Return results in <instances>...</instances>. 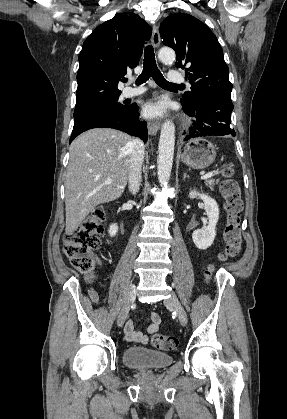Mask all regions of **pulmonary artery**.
<instances>
[{
    "instance_id": "1",
    "label": "pulmonary artery",
    "mask_w": 287,
    "mask_h": 419,
    "mask_svg": "<svg viewBox=\"0 0 287 419\" xmlns=\"http://www.w3.org/2000/svg\"><path fill=\"white\" fill-rule=\"evenodd\" d=\"M167 81L172 84H182L185 82L184 76L180 71H170L167 77ZM145 91L144 88H132L127 87L123 91L124 97H134L142 94Z\"/></svg>"
}]
</instances>
